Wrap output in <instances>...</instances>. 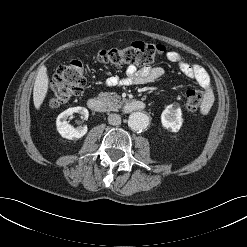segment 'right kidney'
<instances>
[{"instance_id":"ca27d5eb","label":"right kidney","mask_w":247,"mask_h":247,"mask_svg":"<svg viewBox=\"0 0 247 247\" xmlns=\"http://www.w3.org/2000/svg\"><path fill=\"white\" fill-rule=\"evenodd\" d=\"M73 113L81 114L84 120L88 119L89 116L88 110L79 106L68 108L67 110L63 111L58 115L56 120L57 130L63 138L69 140L79 139L87 133V126H79L75 128L72 125L68 124L67 119Z\"/></svg>"}]
</instances>
